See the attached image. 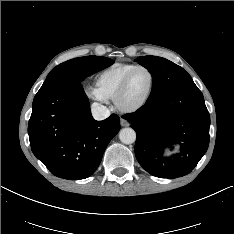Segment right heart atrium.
Wrapping results in <instances>:
<instances>
[{
	"label": "right heart atrium",
	"instance_id": "1",
	"mask_svg": "<svg viewBox=\"0 0 234 234\" xmlns=\"http://www.w3.org/2000/svg\"><path fill=\"white\" fill-rule=\"evenodd\" d=\"M87 95L96 100V101H100V102H107V99H105L100 93L99 91L97 90L96 87H89L86 91Z\"/></svg>",
	"mask_w": 234,
	"mask_h": 234
}]
</instances>
